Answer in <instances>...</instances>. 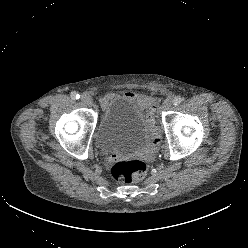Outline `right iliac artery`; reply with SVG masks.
<instances>
[{"mask_svg":"<svg viewBox=\"0 0 248 248\" xmlns=\"http://www.w3.org/2000/svg\"><path fill=\"white\" fill-rule=\"evenodd\" d=\"M70 96H71V98L74 99V100L80 98V95H79L77 92H75V91L72 92Z\"/></svg>","mask_w":248,"mask_h":248,"instance_id":"82829eb1","label":"right iliac artery"}]
</instances>
